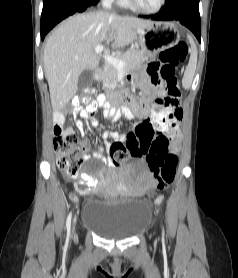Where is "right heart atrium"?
<instances>
[{
    "label": "right heart atrium",
    "instance_id": "d8ad5b80",
    "mask_svg": "<svg viewBox=\"0 0 238 278\" xmlns=\"http://www.w3.org/2000/svg\"><path fill=\"white\" fill-rule=\"evenodd\" d=\"M112 1H121V0H112Z\"/></svg>",
    "mask_w": 238,
    "mask_h": 278
}]
</instances>
